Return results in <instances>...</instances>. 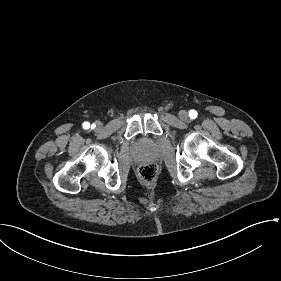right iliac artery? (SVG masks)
<instances>
[{"label":"right iliac artery","mask_w":281,"mask_h":281,"mask_svg":"<svg viewBox=\"0 0 281 281\" xmlns=\"http://www.w3.org/2000/svg\"><path fill=\"white\" fill-rule=\"evenodd\" d=\"M83 127L85 129H88L90 127V124L88 122L83 123Z\"/></svg>","instance_id":"obj_1"}]
</instances>
